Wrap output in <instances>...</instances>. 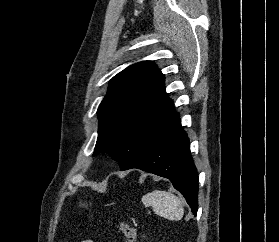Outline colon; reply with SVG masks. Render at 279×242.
<instances>
[{
    "label": "colon",
    "instance_id": "colon-1",
    "mask_svg": "<svg viewBox=\"0 0 279 242\" xmlns=\"http://www.w3.org/2000/svg\"><path fill=\"white\" fill-rule=\"evenodd\" d=\"M115 226L127 242L136 241L137 231L133 226L127 225L123 222H117L115 223Z\"/></svg>",
    "mask_w": 279,
    "mask_h": 242
}]
</instances>
